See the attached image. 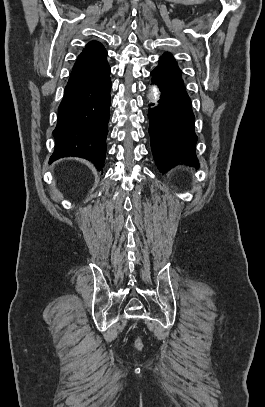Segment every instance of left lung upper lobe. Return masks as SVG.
Returning a JSON list of instances; mask_svg holds the SVG:
<instances>
[{
    "label": "left lung upper lobe",
    "mask_w": 265,
    "mask_h": 407,
    "mask_svg": "<svg viewBox=\"0 0 265 407\" xmlns=\"http://www.w3.org/2000/svg\"><path fill=\"white\" fill-rule=\"evenodd\" d=\"M161 60H163L165 63L170 65L171 67L177 69L178 71L181 72L179 69L177 62L175 61L174 57L170 53H164L163 56L160 57Z\"/></svg>",
    "instance_id": "left-lung-upper-lobe-1"
}]
</instances>
